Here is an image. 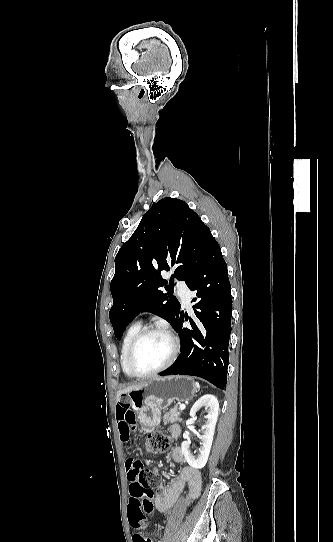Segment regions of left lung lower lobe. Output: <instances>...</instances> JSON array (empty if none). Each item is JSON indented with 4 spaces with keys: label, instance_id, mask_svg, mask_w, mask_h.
<instances>
[{
    "label": "left lung lower lobe",
    "instance_id": "left-lung-lower-lobe-1",
    "mask_svg": "<svg viewBox=\"0 0 333 542\" xmlns=\"http://www.w3.org/2000/svg\"><path fill=\"white\" fill-rule=\"evenodd\" d=\"M197 298L193 306L196 322L189 318L192 329L183 328V312L175 325L181 340V353L176 361L159 375H192L206 379L225 389L231 333V286L227 265L219 244L212 238L196 272L186 281ZM185 319L188 320L187 314Z\"/></svg>",
    "mask_w": 333,
    "mask_h": 542
}]
</instances>
